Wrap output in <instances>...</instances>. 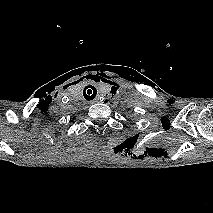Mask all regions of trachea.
Wrapping results in <instances>:
<instances>
[{
  "instance_id": "obj_1",
  "label": "trachea",
  "mask_w": 213,
  "mask_h": 213,
  "mask_svg": "<svg viewBox=\"0 0 213 213\" xmlns=\"http://www.w3.org/2000/svg\"><path fill=\"white\" fill-rule=\"evenodd\" d=\"M88 88H91V89H88ZM96 94H97V90L93 86H88L83 91V95H84V97H85L86 100H92V99H94L95 96H96Z\"/></svg>"
}]
</instances>
